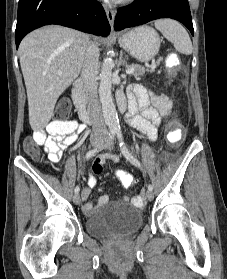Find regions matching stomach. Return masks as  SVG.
Masks as SVG:
<instances>
[{
	"label": "stomach",
	"instance_id": "stomach-1",
	"mask_svg": "<svg viewBox=\"0 0 227 279\" xmlns=\"http://www.w3.org/2000/svg\"><path fill=\"white\" fill-rule=\"evenodd\" d=\"M120 46L138 61L147 62L154 58L160 49V37L150 27H138L118 38Z\"/></svg>",
	"mask_w": 227,
	"mask_h": 279
}]
</instances>
